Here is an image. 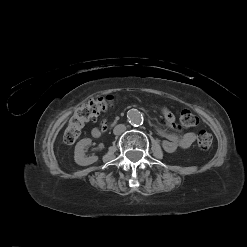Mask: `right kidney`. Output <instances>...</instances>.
I'll return each instance as SVG.
<instances>
[{"label": "right kidney", "instance_id": "ca27d5eb", "mask_svg": "<svg viewBox=\"0 0 247 247\" xmlns=\"http://www.w3.org/2000/svg\"><path fill=\"white\" fill-rule=\"evenodd\" d=\"M91 141L90 138H85L80 140L75 146L74 160L80 166H88L98 160L97 156L85 157L84 148L90 145Z\"/></svg>", "mask_w": 247, "mask_h": 247}]
</instances>
